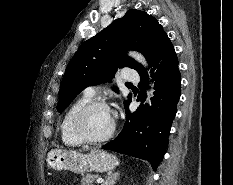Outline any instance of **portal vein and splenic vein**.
<instances>
[{
    "mask_svg": "<svg viewBox=\"0 0 233 185\" xmlns=\"http://www.w3.org/2000/svg\"><path fill=\"white\" fill-rule=\"evenodd\" d=\"M96 182H97L98 184H101V183L104 182V180H103L102 178H98V179L96 180Z\"/></svg>",
    "mask_w": 233,
    "mask_h": 185,
    "instance_id": "portal-vein-and-splenic-vein-1",
    "label": "portal vein and splenic vein"
}]
</instances>
